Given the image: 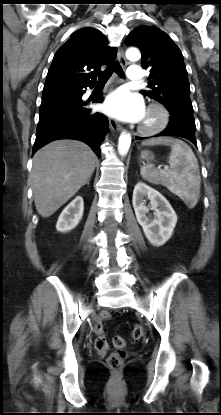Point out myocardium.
<instances>
[{"mask_svg":"<svg viewBox=\"0 0 221 415\" xmlns=\"http://www.w3.org/2000/svg\"><path fill=\"white\" fill-rule=\"evenodd\" d=\"M146 112H154L156 119L151 124L141 123L139 132L143 135H154L161 132L169 123L170 114L167 108L158 102H152L148 105Z\"/></svg>","mask_w":221,"mask_h":415,"instance_id":"myocardium-1","label":"myocardium"}]
</instances>
